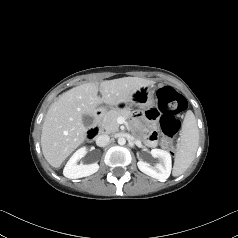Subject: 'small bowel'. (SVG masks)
I'll return each instance as SVG.
<instances>
[{"label":"small bowel","instance_id":"1","mask_svg":"<svg viewBox=\"0 0 238 238\" xmlns=\"http://www.w3.org/2000/svg\"><path fill=\"white\" fill-rule=\"evenodd\" d=\"M145 118L149 123L155 124L161 120L162 114L157 106L151 105L145 109ZM145 141L148 146L154 147L157 145V133L156 131H147L145 133Z\"/></svg>","mask_w":238,"mask_h":238}]
</instances>
